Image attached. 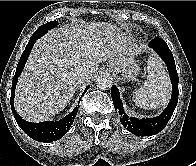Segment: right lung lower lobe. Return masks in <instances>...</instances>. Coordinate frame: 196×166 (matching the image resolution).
<instances>
[{
	"instance_id": "right-lung-lower-lobe-1",
	"label": "right lung lower lobe",
	"mask_w": 196,
	"mask_h": 166,
	"mask_svg": "<svg viewBox=\"0 0 196 166\" xmlns=\"http://www.w3.org/2000/svg\"><path fill=\"white\" fill-rule=\"evenodd\" d=\"M37 39L38 37H34V36L30 38V41L27 44L24 52L22 53L19 63L17 65L16 73L12 81V90H11V99H10L11 109L18 125L29 137L40 142H52L61 139L66 134L67 130H69L77 115L78 106H76V108L71 113H69L67 116H65L59 121H55V122L45 121L40 123H31L25 121L17 114L13 104L15 87L18 81V77L21 74L24 65L31 52V49ZM88 88L89 86L86 88L85 92L87 91ZM85 92L83 93V95L85 94Z\"/></svg>"
}]
</instances>
